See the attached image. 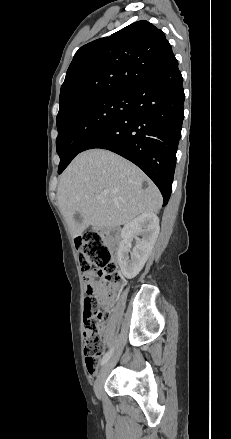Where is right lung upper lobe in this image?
<instances>
[{"label": "right lung upper lobe", "mask_w": 231, "mask_h": 439, "mask_svg": "<svg viewBox=\"0 0 231 439\" xmlns=\"http://www.w3.org/2000/svg\"><path fill=\"white\" fill-rule=\"evenodd\" d=\"M164 33L146 20L82 46L61 86L59 113L101 95L133 94L175 62Z\"/></svg>", "instance_id": "cb5924a9"}]
</instances>
